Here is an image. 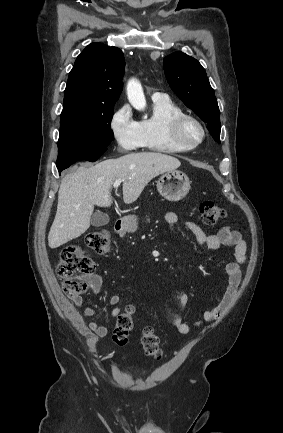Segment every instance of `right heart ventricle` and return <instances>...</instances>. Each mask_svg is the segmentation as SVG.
<instances>
[{"instance_id":"obj_1","label":"right heart ventricle","mask_w":283,"mask_h":433,"mask_svg":"<svg viewBox=\"0 0 283 433\" xmlns=\"http://www.w3.org/2000/svg\"><path fill=\"white\" fill-rule=\"evenodd\" d=\"M183 113L184 110L168 98L153 100L152 115L140 122L145 143L156 146L159 152H179L170 140L169 129L173 118Z\"/></svg>"}]
</instances>
